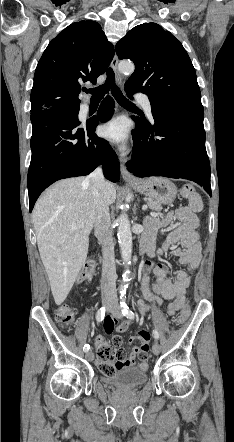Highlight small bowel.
I'll use <instances>...</instances> for the list:
<instances>
[{"instance_id": "1", "label": "small bowel", "mask_w": 234, "mask_h": 442, "mask_svg": "<svg viewBox=\"0 0 234 442\" xmlns=\"http://www.w3.org/2000/svg\"><path fill=\"white\" fill-rule=\"evenodd\" d=\"M202 208V201L197 195L195 199L189 201L188 206H181L164 217L153 216L145 221L146 232L144 236L150 241L147 254L151 260L144 262L142 266L143 279L141 292L144 298L152 302H161L162 299L170 300L166 306V313L169 316L175 314V312L185 305V293L190 284V276L185 270H177L173 278H169L166 266L163 263H156L154 259L171 251V255L181 264L186 265L190 271L198 267L201 259L198 214L202 211ZM173 222H176L177 226L170 231L162 245L157 247L155 244L157 232L161 227ZM178 244H180L181 247H177ZM152 274L156 277L152 284L155 294L149 289ZM138 308L142 313H147L150 310L149 306L143 300L138 302ZM102 326L106 328L107 333H111L114 328L117 333H124L129 327V322L124 321L117 325L116 319L108 317L107 319H103ZM136 339L141 341L140 348L134 347L127 356V367L129 369L134 367L136 359L142 362L149 357L148 342L150 340V334L147 331H140L137 336H131L128 339V343L132 344ZM96 343L99 346L101 344H107V341L99 337ZM110 344L116 349L121 347L122 340L119 334H115Z\"/></svg>"}]
</instances>
